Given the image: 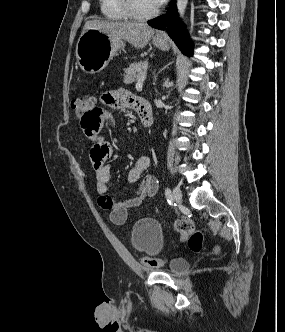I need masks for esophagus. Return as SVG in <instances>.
I'll use <instances>...</instances> for the list:
<instances>
[{"label":"esophagus","instance_id":"1","mask_svg":"<svg viewBox=\"0 0 285 332\" xmlns=\"http://www.w3.org/2000/svg\"><path fill=\"white\" fill-rule=\"evenodd\" d=\"M165 34L163 33V32H159L158 34H157V36H159V37H163Z\"/></svg>","mask_w":285,"mask_h":332}]
</instances>
